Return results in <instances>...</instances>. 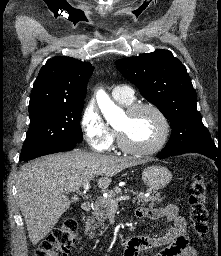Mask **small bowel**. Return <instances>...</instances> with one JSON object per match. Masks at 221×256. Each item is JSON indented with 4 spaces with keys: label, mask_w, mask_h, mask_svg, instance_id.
Segmentation results:
<instances>
[{
    "label": "small bowel",
    "mask_w": 221,
    "mask_h": 256,
    "mask_svg": "<svg viewBox=\"0 0 221 256\" xmlns=\"http://www.w3.org/2000/svg\"><path fill=\"white\" fill-rule=\"evenodd\" d=\"M138 218L151 220L173 221V227L159 236H137L130 238L125 246L124 256H140L144 251L163 247L153 256H196V252L189 244L187 224L183 217L178 215V209L174 204H168L159 208L141 207L136 210ZM81 248L79 253H82Z\"/></svg>",
    "instance_id": "c3829d8e"
}]
</instances>
